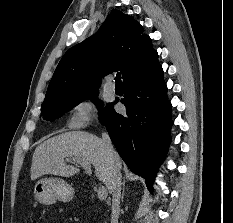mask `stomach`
<instances>
[{
  "label": "stomach",
  "instance_id": "0dacf381",
  "mask_svg": "<svg viewBox=\"0 0 233 223\" xmlns=\"http://www.w3.org/2000/svg\"><path fill=\"white\" fill-rule=\"evenodd\" d=\"M33 193L35 199L43 205H52L56 201H72L75 189L71 183L61 177H41L34 183Z\"/></svg>",
  "mask_w": 233,
  "mask_h": 223
}]
</instances>
